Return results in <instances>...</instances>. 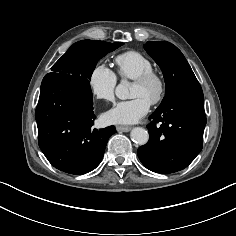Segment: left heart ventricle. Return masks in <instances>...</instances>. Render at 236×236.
Segmentation results:
<instances>
[{
  "instance_id": "1",
  "label": "left heart ventricle",
  "mask_w": 236,
  "mask_h": 236,
  "mask_svg": "<svg viewBox=\"0 0 236 236\" xmlns=\"http://www.w3.org/2000/svg\"><path fill=\"white\" fill-rule=\"evenodd\" d=\"M156 91L157 86L155 83H151L149 85H140L134 82L131 88L130 96L133 98L141 96L150 102L156 94Z\"/></svg>"
}]
</instances>
